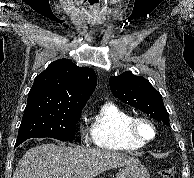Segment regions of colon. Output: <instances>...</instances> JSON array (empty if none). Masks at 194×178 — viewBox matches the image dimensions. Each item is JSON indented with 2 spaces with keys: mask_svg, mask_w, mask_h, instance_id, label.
I'll return each mask as SVG.
<instances>
[{
  "mask_svg": "<svg viewBox=\"0 0 194 178\" xmlns=\"http://www.w3.org/2000/svg\"><path fill=\"white\" fill-rule=\"evenodd\" d=\"M161 178H174L175 177V169L172 167H165L159 172Z\"/></svg>",
  "mask_w": 194,
  "mask_h": 178,
  "instance_id": "obj_1",
  "label": "colon"
}]
</instances>
